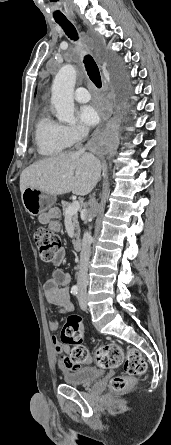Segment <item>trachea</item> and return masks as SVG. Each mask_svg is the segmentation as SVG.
Here are the masks:
<instances>
[{
    "instance_id": "1",
    "label": "trachea",
    "mask_w": 171,
    "mask_h": 445,
    "mask_svg": "<svg viewBox=\"0 0 171 445\" xmlns=\"http://www.w3.org/2000/svg\"><path fill=\"white\" fill-rule=\"evenodd\" d=\"M56 22L64 29L69 38L73 40L78 39V34L75 27L68 20H56ZM84 64L90 80L95 84L96 87L101 88V76L94 59L91 56L86 55L84 57Z\"/></svg>"
}]
</instances>
